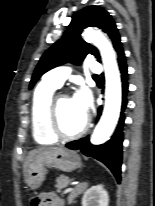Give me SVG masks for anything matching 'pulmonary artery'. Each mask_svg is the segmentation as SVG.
<instances>
[{
  "mask_svg": "<svg viewBox=\"0 0 155 206\" xmlns=\"http://www.w3.org/2000/svg\"><path fill=\"white\" fill-rule=\"evenodd\" d=\"M89 68L93 72H100L101 70L100 64L95 60L90 62ZM70 72L71 69L68 66L57 67L45 74L44 81L57 88L61 87L69 76Z\"/></svg>",
  "mask_w": 155,
  "mask_h": 206,
  "instance_id": "e3ab8cb5",
  "label": "pulmonary artery"
}]
</instances>
